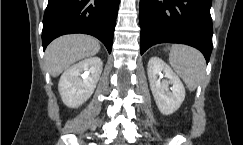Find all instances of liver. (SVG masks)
<instances>
[{
  "instance_id": "1",
  "label": "liver",
  "mask_w": 243,
  "mask_h": 145,
  "mask_svg": "<svg viewBox=\"0 0 243 145\" xmlns=\"http://www.w3.org/2000/svg\"><path fill=\"white\" fill-rule=\"evenodd\" d=\"M99 50V42L91 36L65 35L50 43L45 52V60L50 74L57 77L72 64L95 55Z\"/></svg>"
}]
</instances>
